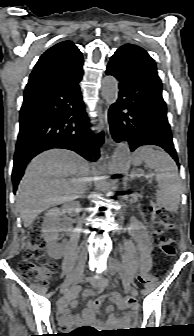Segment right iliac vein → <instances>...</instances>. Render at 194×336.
Listing matches in <instances>:
<instances>
[{
  "label": "right iliac vein",
  "instance_id": "right-iliac-vein-1",
  "mask_svg": "<svg viewBox=\"0 0 194 336\" xmlns=\"http://www.w3.org/2000/svg\"><path fill=\"white\" fill-rule=\"evenodd\" d=\"M86 261H87L86 255H82L79 257L76 267L71 271L67 279L62 283L60 287L61 293H65L75 283L78 277L83 273Z\"/></svg>",
  "mask_w": 194,
  "mask_h": 336
}]
</instances>
